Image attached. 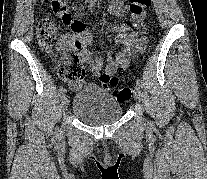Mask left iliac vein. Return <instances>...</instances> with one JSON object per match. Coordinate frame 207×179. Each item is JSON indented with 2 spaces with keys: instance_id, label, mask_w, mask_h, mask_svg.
I'll return each instance as SVG.
<instances>
[{
  "instance_id": "obj_1",
  "label": "left iliac vein",
  "mask_w": 207,
  "mask_h": 179,
  "mask_svg": "<svg viewBox=\"0 0 207 179\" xmlns=\"http://www.w3.org/2000/svg\"><path fill=\"white\" fill-rule=\"evenodd\" d=\"M134 98L136 101H140V98H141V90H140V87L137 85L134 88Z\"/></svg>"
}]
</instances>
